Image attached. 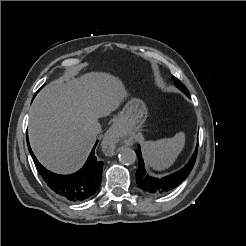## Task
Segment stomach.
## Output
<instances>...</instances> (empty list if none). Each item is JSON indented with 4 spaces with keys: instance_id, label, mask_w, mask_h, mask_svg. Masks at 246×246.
<instances>
[{
    "instance_id": "0dacf381",
    "label": "stomach",
    "mask_w": 246,
    "mask_h": 246,
    "mask_svg": "<svg viewBox=\"0 0 246 246\" xmlns=\"http://www.w3.org/2000/svg\"><path fill=\"white\" fill-rule=\"evenodd\" d=\"M147 118V108L144 102L137 98L130 99L117 118V125L128 135L134 134L144 124Z\"/></svg>"
}]
</instances>
